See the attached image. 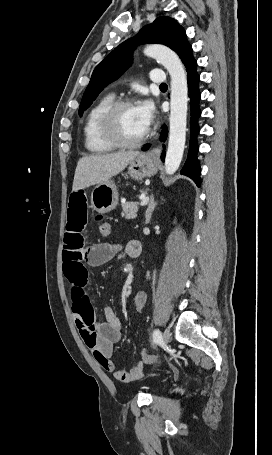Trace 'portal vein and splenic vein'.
Masks as SVG:
<instances>
[{"label":"portal vein and splenic vein","mask_w":272,"mask_h":455,"mask_svg":"<svg viewBox=\"0 0 272 455\" xmlns=\"http://www.w3.org/2000/svg\"><path fill=\"white\" fill-rule=\"evenodd\" d=\"M148 200H149V198L147 196L143 197L142 200H141L140 205L141 206H145L148 203Z\"/></svg>","instance_id":"18ae733b"}]
</instances>
